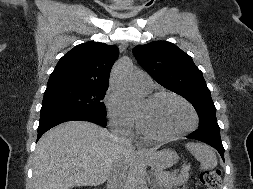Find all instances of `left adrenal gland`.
Here are the masks:
<instances>
[{
    "instance_id": "obj_1",
    "label": "left adrenal gland",
    "mask_w": 253,
    "mask_h": 189,
    "mask_svg": "<svg viewBox=\"0 0 253 189\" xmlns=\"http://www.w3.org/2000/svg\"><path fill=\"white\" fill-rule=\"evenodd\" d=\"M155 186H156V183L153 184V188H155Z\"/></svg>"
}]
</instances>
